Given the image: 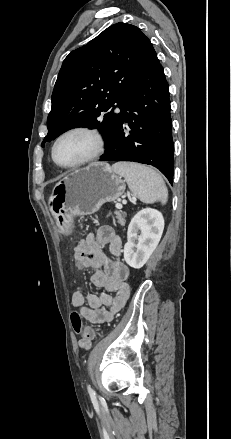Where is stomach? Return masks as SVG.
Returning <instances> with one entry per match:
<instances>
[{"label": "stomach", "instance_id": "0dacf381", "mask_svg": "<svg viewBox=\"0 0 231 439\" xmlns=\"http://www.w3.org/2000/svg\"><path fill=\"white\" fill-rule=\"evenodd\" d=\"M122 176L107 163H93L58 181L48 206L59 232H72L74 218L97 212L106 202L118 200L125 192Z\"/></svg>", "mask_w": 231, "mask_h": 439}]
</instances>
